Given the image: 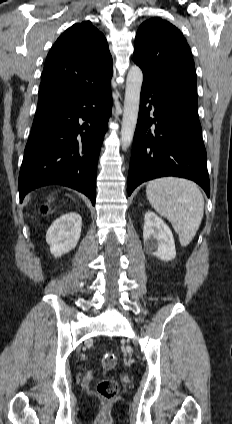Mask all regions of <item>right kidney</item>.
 <instances>
[{"label": "right kidney", "mask_w": 232, "mask_h": 424, "mask_svg": "<svg viewBox=\"0 0 232 424\" xmlns=\"http://www.w3.org/2000/svg\"><path fill=\"white\" fill-rule=\"evenodd\" d=\"M81 228L82 218L78 213H67L54 221L46 234L51 254L61 257L74 249L79 241Z\"/></svg>", "instance_id": "ca27d5eb"}]
</instances>
